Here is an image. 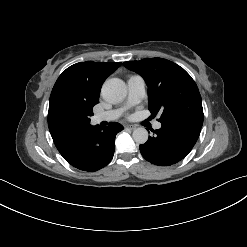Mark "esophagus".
Masks as SVG:
<instances>
[{
    "label": "esophagus",
    "mask_w": 247,
    "mask_h": 247,
    "mask_svg": "<svg viewBox=\"0 0 247 247\" xmlns=\"http://www.w3.org/2000/svg\"><path fill=\"white\" fill-rule=\"evenodd\" d=\"M125 128L130 129V130H135L137 128V126L136 125H133V124H127L125 126Z\"/></svg>",
    "instance_id": "obj_1"
}]
</instances>
